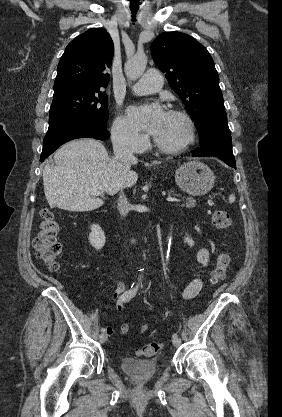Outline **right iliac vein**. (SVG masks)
<instances>
[{
	"label": "right iliac vein",
	"mask_w": 282,
	"mask_h": 417,
	"mask_svg": "<svg viewBox=\"0 0 282 417\" xmlns=\"http://www.w3.org/2000/svg\"><path fill=\"white\" fill-rule=\"evenodd\" d=\"M101 343H104L107 340V334L102 333L99 337Z\"/></svg>",
	"instance_id": "63e3f726"
}]
</instances>
